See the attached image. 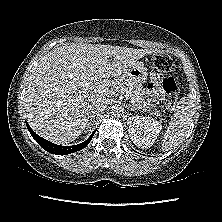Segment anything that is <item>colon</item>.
Segmentation results:
<instances>
[{
	"label": "colon",
	"instance_id": "colon-1",
	"mask_svg": "<svg viewBox=\"0 0 222 222\" xmlns=\"http://www.w3.org/2000/svg\"><path fill=\"white\" fill-rule=\"evenodd\" d=\"M153 68L162 73L173 72L176 68L173 60L164 53H156L152 59ZM161 88L167 95V108L173 111L176 107L178 87L173 77H166L162 81Z\"/></svg>",
	"mask_w": 222,
	"mask_h": 222
}]
</instances>
